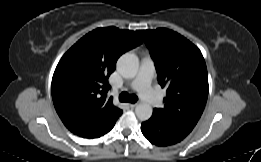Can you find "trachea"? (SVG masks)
I'll return each mask as SVG.
<instances>
[{"label":"trachea","instance_id":"1","mask_svg":"<svg viewBox=\"0 0 261 162\" xmlns=\"http://www.w3.org/2000/svg\"><path fill=\"white\" fill-rule=\"evenodd\" d=\"M119 100L121 102H130V103H135L138 100V97L134 94L130 95L127 92H122L119 95Z\"/></svg>","mask_w":261,"mask_h":162}]
</instances>
